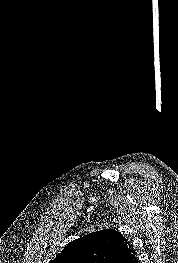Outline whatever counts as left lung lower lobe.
Listing matches in <instances>:
<instances>
[{
	"instance_id": "1",
	"label": "left lung lower lobe",
	"mask_w": 178,
	"mask_h": 263,
	"mask_svg": "<svg viewBox=\"0 0 178 263\" xmlns=\"http://www.w3.org/2000/svg\"><path fill=\"white\" fill-rule=\"evenodd\" d=\"M109 263H138L136 257L131 253L128 243L122 251L114 257Z\"/></svg>"
}]
</instances>
